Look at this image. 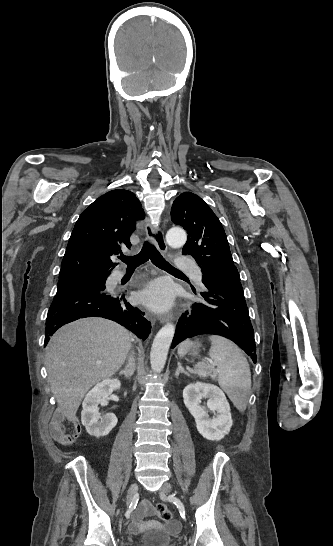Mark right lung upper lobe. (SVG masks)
<instances>
[{"instance_id":"1","label":"right lung upper lobe","mask_w":333,"mask_h":546,"mask_svg":"<svg viewBox=\"0 0 333 546\" xmlns=\"http://www.w3.org/2000/svg\"><path fill=\"white\" fill-rule=\"evenodd\" d=\"M143 218L141 203L130 191L112 190L99 197L74 226L59 279L108 276L116 265L111 256L118 254L121 246L130 248L135 222Z\"/></svg>"}]
</instances>
